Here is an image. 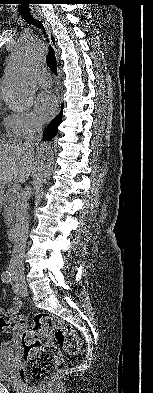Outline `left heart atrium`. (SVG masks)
Here are the masks:
<instances>
[{
  "label": "left heart atrium",
  "mask_w": 153,
  "mask_h": 393,
  "mask_svg": "<svg viewBox=\"0 0 153 393\" xmlns=\"http://www.w3.org/2000/svg\"><path fill=\"white\" fill-rule=\"evenodd\" d=\"M58 106L56 96L50 91L41 92L35 100V113L42 121L50 119Z\"/></svg>",
  "instance_id": "39dd6f15"
}]
</instances>
